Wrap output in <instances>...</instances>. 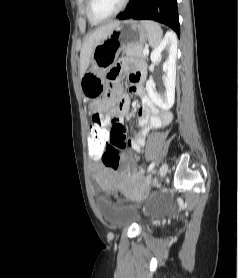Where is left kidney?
Returning a JSON list of instances; mask_svg holds the SVG:
<instances>
[{
  "mask_svg": "<svg viewBox=\"0 0 238 278\" xmlns=\"http://www.w3.org/2000/svg\"><path fill=\"white\" fill-rule=\"evenodd\" d=\"M162 53H166L167 59L163 63L165 75V92L160 94L156 91V85L153 80L146 82V90L153 103L163 110H169L175 101V80H176V56L177 39L172 32L166 33L161 43L152 51L150 58L156 64L161 61Z\"/></svg>",
  "mask_w": 238,
  "mask_h": 278,
  "instance_id": "1",
  "label": "left kidney"
}]
</instances>
